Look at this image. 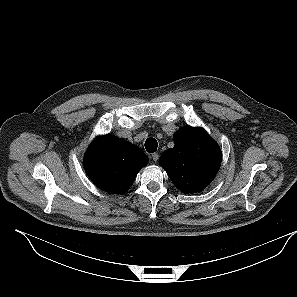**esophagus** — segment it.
Returning a JSON list of instances; mask_svg holds the SVG:
<instances>
[{
	"instance_id": "34e87169",
	"label": "esophagus",
	"mask_w": 297,
	"mask_h": 297,
	"mask_svg": "<svg viewBox=\"0 0 297 297\" xmlns=\"http://www.w3.org/2000/svg\"><path fill=\"white\" fill-rule=\"evenodd\" d=\"M158 159H159V155H158V153H154V154H152V160H153L154 162H157Z\"/></svg>"
}]
</instances>
